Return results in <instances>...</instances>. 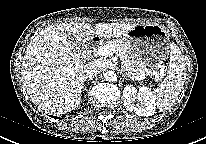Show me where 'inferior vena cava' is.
<instances>
[{"label":"inferior vena cava","instance_id":"1","mask_svg":"<svg viewBox=\"0 0 206 144\" xmlns=\"http://www.w3.org/2000/svg\"><path fill=\"white\" fill-rule=\"evenodd\" d=\"M101 64L98 61H92L89 64L86 65L84 69V76L85 78H94L97 76L100 72Z\"/></svg>","mask_w":206,"mask_h":144}]
</instances>
